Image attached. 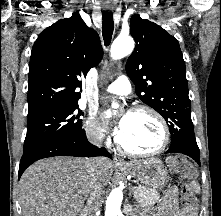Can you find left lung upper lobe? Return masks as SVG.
<instances>
[{
  "mask_svg": "<svg viewBox=\"0 0 221 216\" xmlns=\"http://www.w3.org/2000/svg\"><path fill=\"white\" fill-rule=\"evenodd\" d=\"M130 33L136 41L126 72L139 98L166 120L170 148L199 152L191 120L185 62L178 41L159 25L138 15L131 17Z\"/></svg>",
  "mask_w": 221,
  "mask_h": 216,
  "instance_id": "left-lung-upper-lobe-1",
  "label": "left lung upper lobe"
}]
</instances>
